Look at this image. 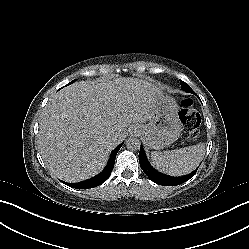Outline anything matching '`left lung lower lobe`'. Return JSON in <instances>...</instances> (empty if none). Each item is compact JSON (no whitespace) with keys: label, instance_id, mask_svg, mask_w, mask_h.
<instances>
[{"label":"left lung lower lobe","instance_id":"0a47b994","mask_svg":"<svg viewBox=\"0 0 249 249\" xmlns=\"http://www.w3.org/2000/svg\"><path fill=\"white\" fill-rule=\"evenodd\" d=\"M139 162L141 165V168L143 169L144 173L155 183L159 184V185H163V186H175L178 184H182L185 181H187L189 178H191L195 172L181 177L182 179L179 180V182H173L174 179L173 177L167 176V175H163L159 172H157L155 169H153V167L149 164V162L147 161L145 152L143 150V147L141 145L140 148V153H139Z\"/></svg>","mask_w":249,"mask_h":249}]
</instances>
